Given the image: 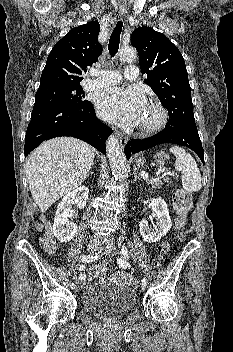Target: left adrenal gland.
Returning <instances> with one entry per match:
<instances>
[{
	"label": "left adrenal gland",
	"instance_id": "left-adrenal-gland-1",
	"mask_svg": "<svg viewBox=\"0 0 233 352\" xmlns=\"http://www.w3.org/2000/svg\"><path fill=\"white\" fill-rule=\"evenodd\" d=\"M133 174H134V180H133L134 182H136L137 179H140V178L137 176V172H136V171H134Z\"/></svg>",
	"mask_w": 233,
	"mask_h": 352
}]
</instances>
